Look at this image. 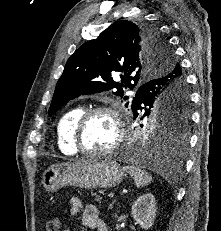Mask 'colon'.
<instances>
[{
    "mask_svg": "<svg viewBox=\"0 0 221 231\" xmlns=\"http://www.w3.org/2000/svg\"><path fill=\"white\" fill-rule=\"evenodd\" d=\"M61 221L59 218L49 219L46 223V231H60Z\"/></svg>",
    "mask_w": 221,
    "mask_h": 231,
    "instance_id": "colon-1",
    "label": "colon"
}]
</instances>
